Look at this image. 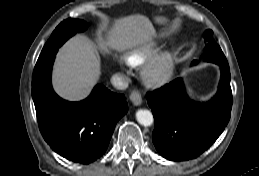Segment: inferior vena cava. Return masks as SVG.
<instances>
[{
	"instance_id": "602c4592",
	"label": "inferior vena cava",
	"mask_w": 259,
	"mask_h": 176,
	"mask_svg": "<svg viewBox=\"0 0 259 176\" xmlns=\"http://www.w3.org/2000/svg\"><path fill=\"white\" fill-rule=\"evenodd\" d=\"M112 85L119 90H125L128 87V78L122 74H115L111 78Z\"/></svg>"
}]
</instances>
